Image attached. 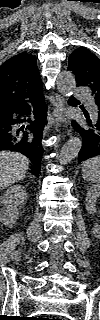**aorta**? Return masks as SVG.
<instances>
[{"mask_svg":"<svg viewBox=\"0 0 100 320\" xmlns=\"http://www.w3.org/2000/svg\"><path fill=\"white\" fill-rule=\"evenodd\" d=\"M57 87L65 96H71L76 88L75 76L71 71H62L57 76ZM82 147L80 137L70 138L62 147L59 155L60 164L66 165L71 162L79 153Z\"/></svg>","mask_w":100,"mask_h":320,"instance_id":"aorta-1","label":"aorta"}]
</instances>
